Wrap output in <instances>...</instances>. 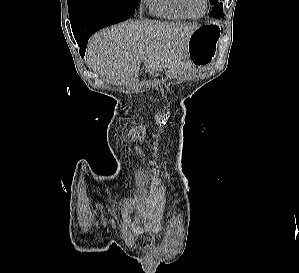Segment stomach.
Returning a JSON list of instances; mask_svg holds the SVG:
<instances>
[{
	"mask_svg": "<svg viewBox=\"0 0 299 273\" xmlns=\"http://www.w3.org/2000/svg\"><path fill=\"white\" fill-rule=\"evenodd\" d=\"M220 27L211 23L198 27L188 41L190 64L197 67L210 66L217 55Z\"/></svg>",
	"mask_w": 299,
	"mask_h": 273,
	"instance_id": "0dacf381",
	"label": "stomach"
}]
</instances>
